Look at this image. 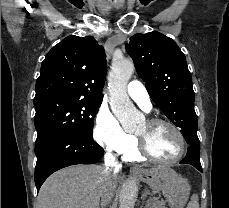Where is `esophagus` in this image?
<instances>
[{
    "label": "esophagus",
    "instance_id": "34e87169",
    "mask_svg": "<svg viewBox=\"0 0 229 208\" xmlns=\"http://www.w3.org/2000/svg\"><path fill=\"white\" fill-rule=\"evenodd\" d=\"M134 170H138V168L137 167H132L131 168V172H133Z\"/></svg>",
    "mask_w": 229,
    "mask_h": 208
}]
</instances>
